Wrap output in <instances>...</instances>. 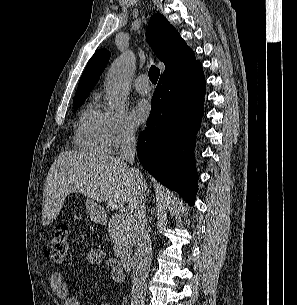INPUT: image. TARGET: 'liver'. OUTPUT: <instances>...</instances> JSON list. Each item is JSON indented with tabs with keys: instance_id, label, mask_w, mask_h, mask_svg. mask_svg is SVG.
<instances>
[{
	"instance_id": "liver-1",
	"label": "liver",
	"mask_w": 297,
	"mask_h": 305,
	"mask_svg": "<svg viewBox=\"0 0 297 305\" xmlns=\"http://www.w3.org/2000/svg\"><path fill=\"white\" fill-rule=\"evenodd\" d=\"M146 182L138 181L126 162L105 154L65 151L53 162L43 191L42 223L48 226L58 216L71 192L117 209L132 201Z\"/></svg>"
}]
</instances>
